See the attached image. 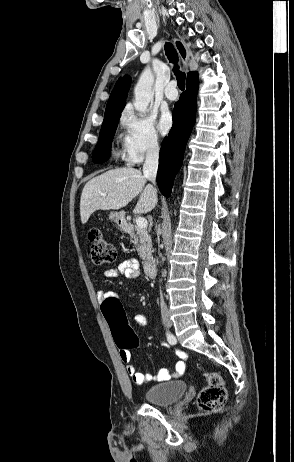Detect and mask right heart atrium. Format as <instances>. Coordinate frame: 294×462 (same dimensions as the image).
Instances as JSON below:
<instances>
[{"instance_id":"obj_1","label":"right heart atrium","mask_w":294,"mask_h":462,"mask_svg":"<svg viewBox=\"0 0 294 462\" xmlns=\"http://www.w3.org/2000/svg\"><path fill=\"white\" fill-rule=\"evenodd\" d=\"M121 124L124 128L122 155L128 164H138L160 151V138L151 119L126 110Z\"/></svg>"}]
</instances>
